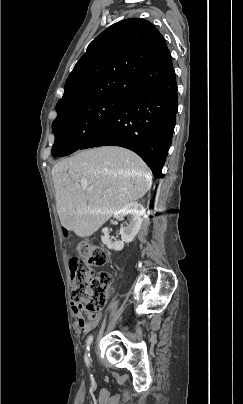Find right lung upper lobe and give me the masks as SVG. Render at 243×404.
<instances>
[{
	"label": "right lung upper lobe",
	"instance_id": "right-lung-upper-lobe-1",
	"mask_svg": "<svg viewBox=\"0 0 243 404\" xmlns=\"http://www.w3.org/2000/svg\"><path fill=\"white\" fill-rule=\"evenodd\" d=\"M173 71L166 41L147 20L130 18L104 30L76 63L56 105L58 115L93 100L127 98Z\"/></svg>",
	"mask_w": 243,
	"mask_h": 404
}]
</instances>
